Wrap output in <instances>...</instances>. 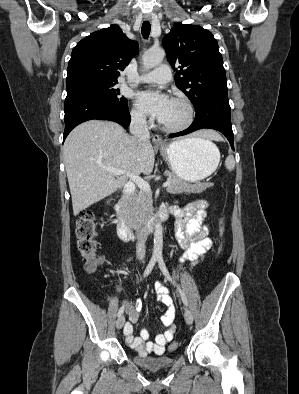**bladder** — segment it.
Segmentation results:
<instances>
[{"label":"bladder","instance_id":"obj_1","mask_svg":"<svg viewBox=\"0 0 299 394\" xmlns=\"http://www.w3.org/2000/svg\"><path fill=\"white\" fill-rule=\"evenodd\" d=\"M175 362L173 355H161V356H142L136 355L134 357V363L140 368L149 372L155 373L167 367H170Z\"/></svg>","mask_w":299,"mask_h":394}]
</instances>
